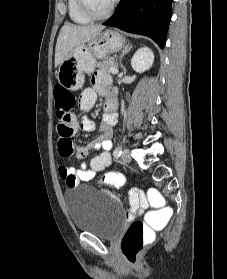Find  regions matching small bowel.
Returning a JSON list of instances; mask_svg holds the SVG:
<instances>
[{"instance_id":"obj_1","label":"small bowel","mask_w":227,"mask_h":279,"mask_svg":"<svg viewBox=\"0 0 227 279\" xmlns=\"http://www.w3.org/2000/svg\"><path fill=\"white\" fill-rule=\"evenodd\" d=\"M110 85L111 79L107 74H94L91 78V87L84 89L79 97L80 109L83 111L91 110L96 105L99 95H103L108 102H114L116 94L109 87ZM116 121L117 115L115 113L105 114L100 124V137L91 141L87 147L74 146L72 141L65 136L60 138L59 154L62 157H67L75 153L76 158L83 161L79 167L63 166L59 169L60 178L68 186H71L72 179L75 180L76 184L93 179L96 173L103 171L112 163L111 137ZM79 125L86 132L95 130V123L89 117H84L80 122L76 119L72 120L73 129H76ZM67 143L69 146H67ZM89 150L100 152V154L85 161ZM148 207L149 202L146 197L138 196L135 192L132 193L129 214H142Z\"/></svg>"}]
</instances>
